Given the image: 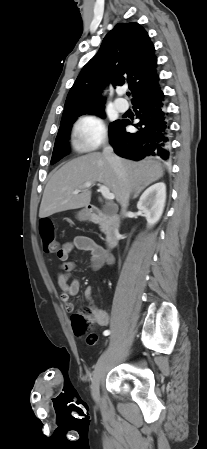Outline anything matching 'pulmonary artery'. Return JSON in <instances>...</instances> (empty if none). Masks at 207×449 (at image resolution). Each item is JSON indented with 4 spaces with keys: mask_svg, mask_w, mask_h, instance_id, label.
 I'll return each instance as SVG.
<instances>
[{
    "mask_svg": "<svg viewBox=\"0 0 207 449\" xmlns=\"http://www.w3.org/2000/svg\"><path fill=\"white\" fill-rule=\"evenodd\" d=\"M114 105H115L116 109L119 110L120 112H124L128 108V103L122 98L115 99Z\"/></svg>",
    "mask_w": 207,
    "mask_h": 449,
    "instance_id": "obj_1",
    "label": "pulmonary artery"
}]
</instances>
